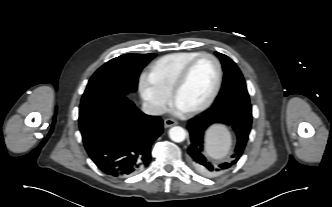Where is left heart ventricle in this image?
<instances>
[{"label": "left heart ventricle", "mask_w": 332, "mask_h": 207, "mask_svg": "<svg viewBox=\"0 0 332 207\" xmlns=\"http://www.w3.org/2000/svg\"><path fill=\"white\" fill-rule=\"evenodd\" d=\"M216 81V67L210 58L198 60L179 91L176 105L184 111L202 104L211 94Z\"/></svg>", "instance_id": "left-heart-ventricle-1"}]
</instances>
